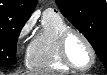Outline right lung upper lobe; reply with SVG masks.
I'll return each mask as SVG.
<instances>
[{
  "label": "right lung upper lobe",
  "mask_w": 107,
  "mask_h": 75,
  "mask_svg": "<svg viewBox=\"0 0 107 75\" xmlns=\"http://www.w3.org/2000/svg\"><path fill=\"white\" fill-rule=\"evenodd\" d=\"M35 5L36 0H0V29L11 24L25 23Z\"/></svg>",
  "instance_id": "1"
}]
</instances>
